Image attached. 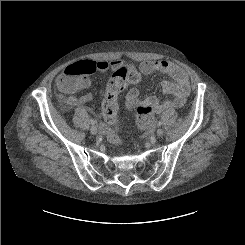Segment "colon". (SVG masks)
<instances>
[{"label": "colon", "instance_id": "1", "mask_svg": "<svg viewBox=\"0 0 245 245\" xmlns=\"http://www.w3.org/2000/svg\"><path fill=\"white\" fill-rule=\"evenodd\" d=\"M97 70L95 62L89 60H80L68 65L65 69L66 77L61 79L59 87L67 93L86 87L85 79ZM140 74L136 70L123 68L116 73L109 82L108 93L102 104L104 119L109 124V140L113 143H119V137L116 129L118 127L117 113L118 104L116 96L128 85L138 84ZM137 125L140 129L148 128L154 121L153 108L149 104H140L136 115Z\"/></svg>", "mask_w": 245, "mask_h": 245}]
</instances>
